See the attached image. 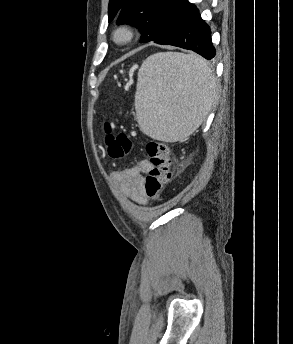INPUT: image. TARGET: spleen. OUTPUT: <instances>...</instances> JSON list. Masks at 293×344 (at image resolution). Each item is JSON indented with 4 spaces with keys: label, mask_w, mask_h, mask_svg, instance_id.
Returning a JSON list of instances; mask_svg holds the SVG:
<instances>
[{
    "label": "spleen",
    "mask_w": 293,
    "mask_h": 344,
    "mask_svg": "<svg viewBox=\"0 0 293 344\" xmlns=\"http://www.w3.org/2000/svg\"><path fill=\"white\" fill-rule=\"evenodd\" d=\"M216 95V79L197 55L161 52L149 56L138 73L136 118L147 136L174 142L203 122Z\"/></svg>",
    "instance_id": "obj_1"
}]
</instances>
